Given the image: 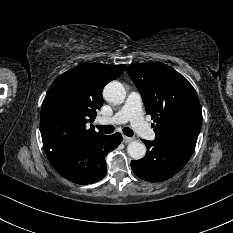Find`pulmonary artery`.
<instances>
[{
    "label": "pulmonary artery",
    "mask_w": 233,
    "mask_h": 233,
    "mask_svg": "<svg viewBox=\"0 0 233 233\" xmlns=\"http://www.w3.org/2000/svg\"><path fill=\"white\" fill-rule=\"evenodd\" d=\"M130 122L132 127L143 138L153 140L155 133L145 122L142 111V98L136 91L128 93L127 98L121 108L111 117H99L98 124H122Z\"/></svg>",
    "instance_id": "pulmonary-artery-1"
}]
</instances>
